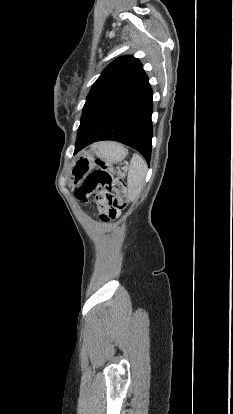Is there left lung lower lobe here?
<instances>
[{
  "label": "left lung lower lobe",
  "instance_id": "left-lung-lower-lobe-1",
  "mask_svg": "<svg viewBox=\"0 0 233 414\" xmlns=\"http://www.w3.org/2000/svg\"><path fill=\"white\" fill-rule=\"evenodd\" d=\"M152 89L145 75L124 90L103 97L83 109L75 154L87 145L114 140L151 157Z\"/></svg>",
  "mask_w": 233,
  "mask_h": 414
}]
</instances>
